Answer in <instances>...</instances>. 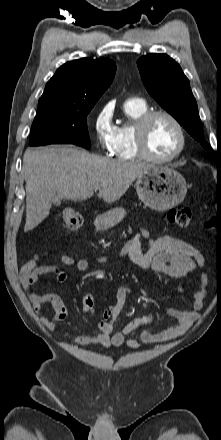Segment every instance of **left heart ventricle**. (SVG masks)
Returning a JSON list of instances; mask_svg holds the SVG:
<instances>
[{"label":"left heart ventricle","mask_w":221,"mask_h":440,"mask_svg":"<svg viewBox=\"0 0 221 440\" xmlns=\"http://www.w3.org/2000/svg\"><path fill=\"white\" fill-rule=\"evenodd\" d=\"M147 145L150 152L157 157L170 156L179 145L176 127L166 117H156L147 129Z\"/></svg>","instance_id":"left-heart-ventricle-1"}]
</instances>
